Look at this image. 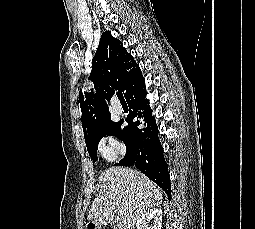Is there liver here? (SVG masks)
Segmentation results:
<instances>
[{
  "mask_svg": "<svg viewBox=\"0 0 255 229\" xmlns=\"http://www.w3.org/2000/svg\"><path fill=\"white\" fill-rule=\"evenodd\" d=\"M101 189L92 202L88 221L106 225L119 210L117 229H133L136 220L147 209L162 203V190L137 170L112 167L99 176Z\"/></svg>",
  "mask_w": 255,
  "mask_h": 229,
  "instance_id": "1",
  "label": "liver"
}]
</instances>
